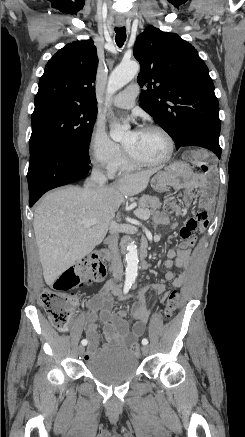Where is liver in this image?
<instances>
[{
  "instance_id": "1",
  "label": "liver",
  "mask_w": 245,
  "mask_h": 437,
  "mask_svg": "<svg viewBox=\"0 0 245 437\" xmlns=\"http://www.w3.org/2000/svg\"><path fill=\"white\" fill-rule=\"evenodd\" d=\"M155 172L157 169L128 174L104 187L89 181L83 188H62L41 200L35 208L33 228L47 285L102 242L124 198L144 191ZM86 219L97 222L86 226L82 223Z\"/></svg>"
}]
</instances>
